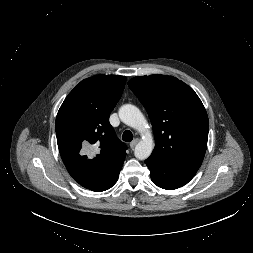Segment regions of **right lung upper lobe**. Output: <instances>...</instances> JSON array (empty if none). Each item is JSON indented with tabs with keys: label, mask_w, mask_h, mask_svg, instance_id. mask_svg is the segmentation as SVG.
<instances>
[{
	"label": "right lung upper lobe",
	"mask_w": 253,
	"mask_h": 253,
	"mask_svg": "<svg viewBox=\"0 0 253 253\" xmlns=\"http://www.w3.org/2000/svg\"><path fill=\"white\" fill-rule=\"evenodd\" d=\"M126 77L95 75L84 79L68 94L55 122L58 148L70 175L83 187L104 191L119 175L126 145L109 123L121 98ZM95 151L84 155L83 148Z\"/></svg>",
	"instance_id": "cb5924a9"
}]
</instances>
